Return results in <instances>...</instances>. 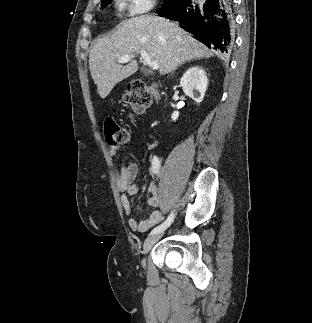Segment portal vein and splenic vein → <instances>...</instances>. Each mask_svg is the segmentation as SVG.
Instances as JSON below:
<instances>
[{"mask_svg": "<svg viewBox=\"0 0 312 323\" xmlns=\"http://www.w3.org/2000/svg\"><path fill=\"white\" fill-rule=\"evenodd\" d=\"M140 56L142 60L146 62L147 66H151L152 70H158L159 66L157 62H153V60L149 58L147 52H140ZM130 60H131V56H120L117 62H119V64H126V62H130Z\"/></svg>", "mask_w": 312, "mask_h": 323, "instance_id": "obj_1", "label": "portal vein and splenic vein"}]
</instances>
